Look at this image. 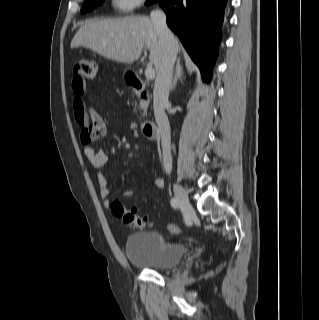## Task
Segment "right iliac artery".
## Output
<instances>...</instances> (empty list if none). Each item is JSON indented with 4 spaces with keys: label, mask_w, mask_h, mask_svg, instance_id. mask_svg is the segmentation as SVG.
<instances>
[{
    "label": "right iliac artery",
    "mask_w": 319,
    "mask_h": 320,
    "mask_svg": "<svg viewBox=\"0 0 319 320\" xmlns=\"http://www.w3.org/2000/svg\"><path fill=\"white\" fill-rule=\"evenodd\" d=\"M170 203H171V206L175 209H177L180 205L178 199L175 197L171 199Z\"/></svg>",
    "instance_id": "1"
}]
</instances>
